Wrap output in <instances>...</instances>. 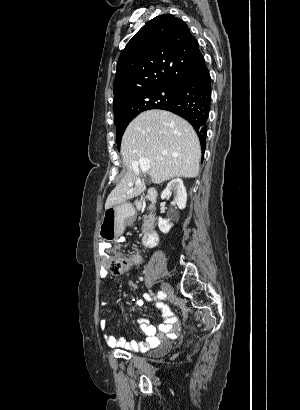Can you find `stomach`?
<instances>
[{
	"instance_id": "1",
	"label": "stomach",
	"mask_w": 300,
	"mask_h": 410,
	"mask_svg": "<svg viewBox=\"0 0 300 410\" xmlns=\"http://www.w3.org/2000/svg\"><path fill=\"white\" fill-rule=\"evenodd\" d=\"M133 215L134 208L130 203L124 202L106 209L99 231L101 239L105 241L117 239Z\"/></svg>"
}]
</instances>
